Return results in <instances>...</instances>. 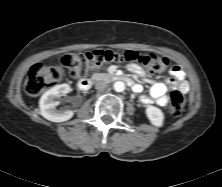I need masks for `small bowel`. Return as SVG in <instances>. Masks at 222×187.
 Instances as JSON below:
<instances>
[{
  "mask_svg": "<svg viewBox=\"0 0 222 187\" xmlns=\"http://www.w3.org/2000/svg\"><path fill=\"white\" fill-rule=\"evenodd\" d=\"M135 74L146 77L144 71L138 66L132 65L129 67ZM171 73L173 76L180 80V83H173V85L178 86L181 90L187 91L189 89L188 83L185 81V73L183 69L179 66H173L171 68ZM136 90H140V86H136ZM151 102H156L160 106H165L168 102L167 97V86L163 82H154L151 85L149 95L141 98V103L143 105H148Z\"/></svg>",
  "mask_w": 222,
  "mask_h": 187,
  "instance_id": "c3829d8e",
  "label": "small bowel"
}]
</instances>
